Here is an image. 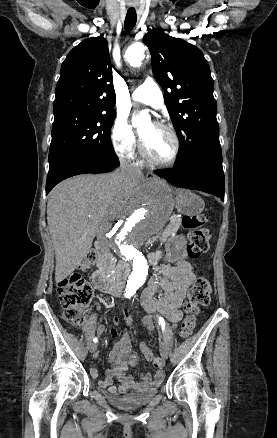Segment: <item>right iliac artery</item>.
I'll use <instances>...</instances> for the list:
<instances>
[{
  "instance_id": "right-iliac-artery-1",
  "label": "right iliac artery",
  "mask_w": 277,
  "mask_h": 438,
  "mask_svg": "<svg viewBox=\"0 0 277 438\" xmlns=\"http://www.w3.org/2000/svg\"><path fill=\"white\" fill-rule=\"evenodd\" d=\"M97 341H98V339L95 337V338L93 339V342L96 343Z\"/></svg>"
}]
</instances>
